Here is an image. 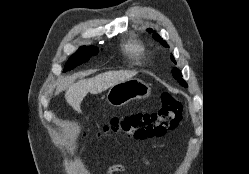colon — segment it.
Masks as SVG:
<instances>
[{
    "label": "colon",
    "mask_w": 249,
    "mask_h": 174,
    "mask_svg": "<svg viewBox=\"0 0 249 174\" xmlns=\"http://www.w3.org/2000/svg\"><path fill=\"white\" fill-rule=\"evenodd\" d=\"M182 109L180 100L164 93L158 110L114 117L97 131L96 136L120 133L134 139L162 136L178 125Z\"/></svg>",
    "instance_id": "1"
}]
</instances>
